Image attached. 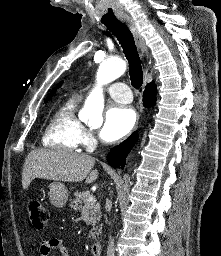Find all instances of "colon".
<instances>
[{"instance_id":"obj_1","label":"colon","mask_w":221,"mask_h":256,"mask_svg":"<svg viewBox=\"0 0 221 256\" xmlns=\"http://www.w3.org/2000/svg\"><path fill=\"white\" fill-rule=\"evenodd\" d=\"M27 213L32 227L41 230L49 220V211L46 206L36 198H31L27 202Z\"/></svg>"}]
</instances>
